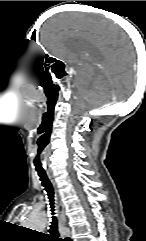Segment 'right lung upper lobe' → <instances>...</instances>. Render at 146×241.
<instances>
[{"instance_id": "right-lung-upper-lobe-1", "label": "right lung upper lobe", "mask_w": 146, "mask_h": 241, "mask_svg": "<svg viewBox=\"0 0 146 241\" xmlns=\"http://www.w3.org/2000/svg\"><path fill=\"white\" fill-rule=\"evenodd\" d=\"M65 241H71L69 238H66V240Z\"/></svg>"}]
</instances>
